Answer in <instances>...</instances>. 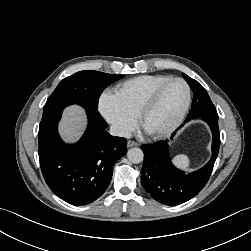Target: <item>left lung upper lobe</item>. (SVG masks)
<instances>
[{"instance_id": "1", "label": "left lung upper lobe", "mask_w": 251, "mask_h": 251, "mask_svg": "<svg viewBox=\"0 0 251 251\" xmlns=\"http://www.w3.org/2000/svg\"><path fill=\"white\" fill-rule=\"evenodd\" d=\"M182 75L191 87L194 97L196 98V100L192 102L187 119L200 116L218 117L214 104L201 84L184 73Z\"/></svg>"}]
</instances>
